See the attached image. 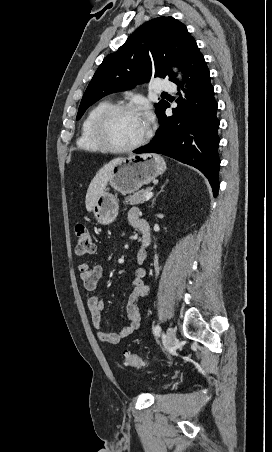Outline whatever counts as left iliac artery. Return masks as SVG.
I'll list each match as a JSON object with an SVG mask.
<instances>
[{"mask_svg": "<svg viewBox=\"0 0 272 452\" xmlns=\"http://www.w3.org/2000/svg\"><path fill=\"white\" fill-rule=\"evenodd\" d=\"M161 327L159 325L155 326L154 333L156 336L160 335Z\"/></svg>", "mask_w": 272, "mask_h": 452, "instance_id": "left-iliac-artery-1", "label": "left iliac artery"}]
</instances>
